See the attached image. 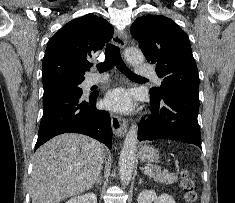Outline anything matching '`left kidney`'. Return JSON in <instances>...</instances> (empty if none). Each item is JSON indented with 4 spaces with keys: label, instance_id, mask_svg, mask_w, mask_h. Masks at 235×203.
<instances>
[{
    "label": "left kidney",
    "instance_id": "left-kidney-1",
    "mask_svg": "<svg viewBox=\"0 0 235 203\" xmlns=\"http://www.w3.org/2000/svg\"><path fill=\"white\" fill-rule=\"evenodd\" d=\"M138 203H176L174 198L169 194H161L157 196L152 190H143L137 198Z\"/></svg>",
    "mask_w": 235,
    "mask_h": 203
}]
</instances>
